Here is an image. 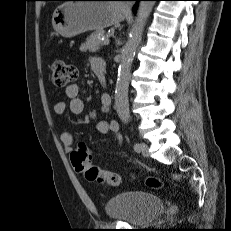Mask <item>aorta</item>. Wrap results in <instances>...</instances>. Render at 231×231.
I'll list each match as a JSON object with an SVG mask.
<instances>
[{
    "label": "aorta",
    "instance_id": "obj_1",
    "mask_svg": "<svg viewBox=\"0 0 231 231\" xmlns=\"http://www.w3.org/2000/svg\"><path fill=\"white\" fill-rule=\"evenodd\" d=\"M154 3V1H141L139 3L135 22L130 31V37L121 50V59L115 89V109L123 122H127L130 118L128 88L135 49Z\"/></svg>",
    "mask_w": 231,
    "mask_h": 231
}]
</instances>
